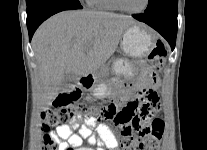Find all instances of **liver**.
I'll return each instance as SVG.
<instances>
[{"mask_svg": "<svg viewBox=\"0 0 207 150\" xmlns=\"http://www.w3.org/2000/svg\"><path fill=\"white\" fill-rule=\"evenodd\" d=\"M134 24L129 16L91 10L63 11L45 21L32 40L41 109L50 106L66 74L80 78L103 67Z\"/></svg>", "mask_w": 207, "mask_h": 150, "instance_id": "1", "label": "liver"}]
</instances>
